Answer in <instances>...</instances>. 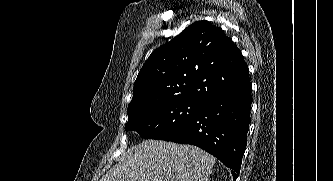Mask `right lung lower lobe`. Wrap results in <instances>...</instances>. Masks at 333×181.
Masks as SVG:
<instances>
[{
    "label": "right lung lower lobe",
    "instance_id": "obj_1",
    "mask_svg": "<svg viewBox=\"0 0 333 181\" xmlns=\"http://www.w3.org/2000/svg\"><path fill=\"white\" fill-rule=\"evenodd\" d=\"M252 84L224 91L206 98L194 118L166 141L191 144L218 158L231 169L233 179L239 175L247 145Z\"/></svg>",
    "mask_w": 333,
    "mask_h": 181
}]
</instances>
